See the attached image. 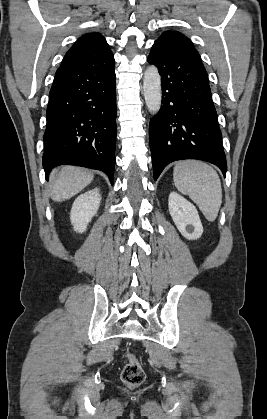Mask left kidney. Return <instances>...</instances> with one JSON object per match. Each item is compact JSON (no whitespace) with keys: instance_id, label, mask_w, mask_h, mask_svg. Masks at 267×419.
Returning <instances> with one entry per match:
<instances>
[{"instance_id":"5707ae66","label":"left kidney","mask_w":267,"mask_h":419,"mask_svg":"<svg viewBox=\"0 0 267 419\" xmlns=\"http://www.w3.org/2000/svg\"><path fill=\"white\" fill-rule=\"evenodd\" d=\"M169 213L179 230L188 240L201 237L203 226L196 207L176 192H171L168 198Z\"/></svg>"}]
</instances>
